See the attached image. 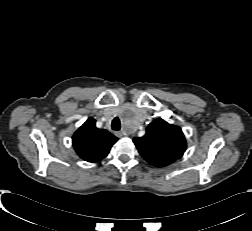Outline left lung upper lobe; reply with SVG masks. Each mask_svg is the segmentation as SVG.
I'll use <instances>...</instances> for the list:
<instances>
[{
	"label": "left lung upper lobe",
	"instance_id": "1",
	"mask_svg": "<svg viewBox=\"0 0 252 231\" xmlns=\"http://www.w3.org/2000/svg\"><path fill=\"white\" fill-rule=\"evenodd\" d=\"M139 153L150 164L164 167L182 157L186 141L182 130L161 118L155 119L143 137L133 139Z\"/></svg>",
	"mask_w": 252,
	"mask_h": 231
}]
</instances>
